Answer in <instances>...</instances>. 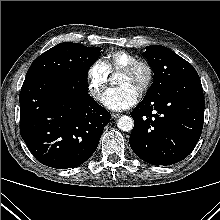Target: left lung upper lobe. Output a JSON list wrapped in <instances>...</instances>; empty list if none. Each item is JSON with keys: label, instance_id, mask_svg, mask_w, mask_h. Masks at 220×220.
<instances>
[{"label": "left lung upper lobe", "instance_id": "5c2ea615", "mask_svg": "<svg viewBox=\"0 0 220 220\" xmlns=\"http://www.w3.org/2000/svg\"><path fill=\"white\" fill-rule=\"evenodd\" d=\"M144 55L154 72V81L144 99L163 92L182 77L198 74L189 62L164 46H147Z\"/></svg>", "mask_w": 220, "mask_h": 220}]
</instances>
